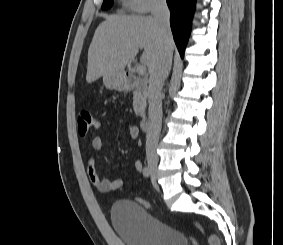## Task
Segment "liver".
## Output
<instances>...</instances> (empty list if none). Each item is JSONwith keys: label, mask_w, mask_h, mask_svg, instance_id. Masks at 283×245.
<instances>
[{"label": "liver", "mask_w": 283, "mask_h": 245, "mask_svg": "<svg viewBox=\"0 0 283 245\" xmlns=\"http://www.w3.org/2000/svg\"><path fill=\"white\" fill-rule=\"evenodd\" d=\"M158 23L151 16H108L96 29L88 49L86 81L106 73H122L127 63L144 49L141 63L151 73L163 53ZM173 53V39L169 43Z\"/></svg>", "instance_id": "obj_1"}]
</instances>
